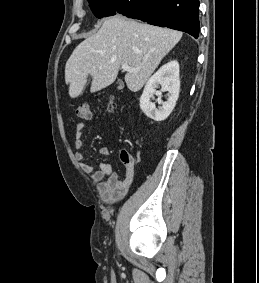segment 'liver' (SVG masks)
Wrapping results in <instances>:
<instances>
[{
	"label": "liver",
	"instance_id": "1",
	"mask_svg": "<svg viewBox=\"0 0 259 283\" xmlns=\"http://www.w3.org/2000/svg\"><path fill=\"white\" fill-rule=\"evenodd\" d=\"M181 37L179 31L119 15L104 20L99 31L81 42L66 62L65 81L70 97L82 93L89 75L91 93L108 87L123 64L138 69L127 71L124 79L131 91H139Z\"/></svg>",
	"mask_w": 259,
	"mask_h": 283
}]
</instances>
